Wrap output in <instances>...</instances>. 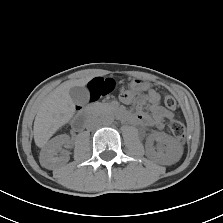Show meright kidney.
<instances>
[{
    "label": "right kidney",
    "instance_id": "right-kidney-1",
    "mask_svg": "<svg viewBox=\"0 0 223 223\" xmlns=\"http://www.w3.org/2000/svg\"><path fill=\"white\" fill-rule=\"evenodd\" d=\"M70 147V137L66 134L56 136L53 138L40 153V162L45 168H52L57 163H67L70 159L67 152H63L58 156V152L62 150V147Z\"/></svg>",
    "mask_w": 223,
    "mask_h": 223
}]
</instances>
